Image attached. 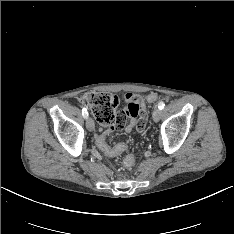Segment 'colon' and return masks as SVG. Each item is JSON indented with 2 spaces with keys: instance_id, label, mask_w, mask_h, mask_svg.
I'll list each match as a JSON object with an SVG mask.
<instances>
[{
  "instance_id": "obj_1",
  "label": "colon",
  "mask_w": 234,
  "mask_h": 234,
  "mask_svg": "<svg viewBox=\"0 0 234 234\" xmlns=\"http://www.w3.org/2000/svg\"><path fill=\"white\" fill-rule=\"evenodd\" d=\"M160 100V95L155 93L146 96V101L150 103H158ZM81 102L91 108L97 121L105 124V130L103 128L97 130V136L94 138L96 147L104 156L110 158L120 156L121 153L127 150V145L123 142L112 145L107 143V140L114 134L116 129L123 128L126 123L124 114L116 111L118 98L111 93L97 92L85 94L81 98ZM134 164L135 157L132 154L127 155L123 161L124 167L130 169Z\"/></svg>"
}]
</instances>
